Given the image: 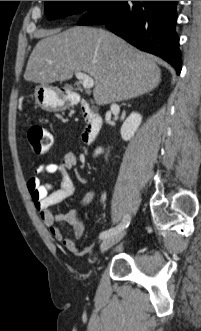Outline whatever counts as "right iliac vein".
<instances>
[{
  "label": "right iliac vein",
  "instance_id": "1",
  "mask_svg": "<svg viewBox=\"0 0 201 331\" xmlns=\"http://www.w3.org/2000/svg\"><path fill=\"white\" fill-rule=\"evenodd\" d=\"M125 235V231H120L116 233L115 235L109 236L106 239L103 240V242L100 245V250L102 253L109 250L112 246L117 244Z\"/></svg>",
  "mask_w": 201,
  "mask_h": 331
}]
</instances>
